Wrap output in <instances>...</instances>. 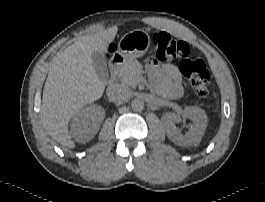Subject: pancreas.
<instances>
[{
  "label": "pancreas",
  "instance_id": "cf45deb5",
  "mask_svg": "<svg viewBox=\"0 0 265 202\" xmlns=\"http://www.w3.org/2000/svg\"><path fill=\"white\" fill-rule=\"evenodd\" d=\"M119 80L130 87H136L142 77V66L135 60H127L117 69Z\"/></svg>",
  "mask_w": 265,
  "mask_h": 202
}]
</instances>
